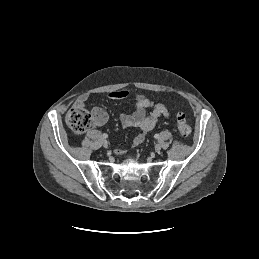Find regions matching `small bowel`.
Masks as SVG:
<instances>
[{
    "instance_id": "1",
    "label": "small bowel",
    "mask_w": 259,
    "mask_h": 259,
    "mask_svg": "<svg viewBox=\"0 0 259 259\" xmlns=\"http://www.w3.org/2000/svg\"><path fill=\"white\" fill-rule=\"evenodd\" d=\"M130 96L127 90L113 91L108 94L110 99H124ZM88 97L83 95L79 97L75 105L84 106ZM135 111L130 114H121L120 123L124 128H137L139 132L133 139V147L139 146L145 139L148 132H150L157 121L161 117H168V109L162 103H155L143 94L136 93L133 95ZM150 110V111H148ZM93 117L96 125L101 126L106 123L108 119L107 112L101 107L93 109ZM124 148H118L116 154L124 153Z\"/></svg>"
}]
</instances>
